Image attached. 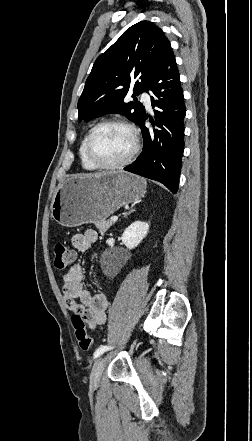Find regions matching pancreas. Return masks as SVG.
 Segmentation results:
<instances>
[{
	"mask_svg": "<svg viewBox=\"0 0 252 441\" xmlns=\"http://www.w3.org/2000/svg\"><path fill=\"white\" fill-rule=\"evenodd\" d=\"M114 223L110 220L96 221L95 226L99 232L104 235V233L113 225Z\"/></svg>",
	"mask_w": 252,
	"mask_h": 441,
	"instance_id": "1",
	"label": "pancreas"
}]
</instances>
